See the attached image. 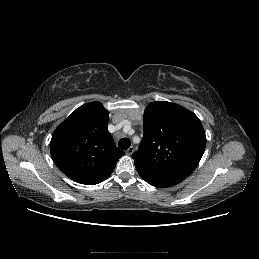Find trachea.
<instances>
[{
  "instance_id": "obj_1",
  "label": "trachea",
  "mask_w": 259,
  "mask_h": 259,
  "mask_svg": "<svg viewBox=\"0 0 259 259\" xmlns=\"http://www.w3.org/2000/svg\"><path fill=\"white\" fill-rule=\"evenodd\" d=\"M131 145V142L128 138H122L118 142V147L122 150H127Z\"/></svg>"
}]
</instances>
